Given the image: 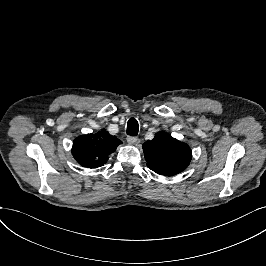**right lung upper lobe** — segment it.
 Returning <instances> with one entry per match:
<instances>
[{"label":"right lung upper lobe","instance_id":"cb5924a9","mask_svg":"<svg viewBox=\"0 0 266 266\" xmlns=\"http://www.w3.org/2000/svg\"><path fill=\"white\" fill-rule=\"evenodd\" d=\"M122 142L110 135L105 129L95 134L81 135L74 140L72 154L83 167L97 168L103 166L117 146Z\"/></svg>","mask_w":266,"mask_h":266}]
</instances>
